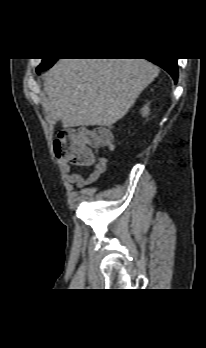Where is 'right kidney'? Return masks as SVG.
<instances>
[{
	"mask_svg": "<svg viewBox=\"0 0 206 348\" xmlns=\"http://www.w3.org/2000/svg\"><path fill=\"white\" fill-rule=\"evenodd\" d=\"M150 109H149V105H145L142 109H141V113L142 116L145 117L147 115H149Z\"/></svg>",
	"mask_w": 206,
	"mask_h": 348,
	"instance_id": "1",
	"label": "right kidney"
}]
</instances>
